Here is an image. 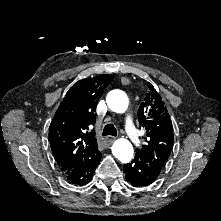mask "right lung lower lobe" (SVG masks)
I'll return each mask as SVG.
<instances>
[{
	"label": "right lung lower lobe",
	"mask_w": 221,
	"mask_h": 221,
	"mask_svg": "<svg viewBox=\"0 0 221 221\" xmlns=\"http://www.w3.org/2000/svg\"><path fill=\"white\" fill-rule=\"evenodd\" d=\"M102 154L96 148L81 163L64 173L69 183L74 185H86L90 182Z\"/></svg>",
	"instance_id": "obj_1"
}]
</instances>
